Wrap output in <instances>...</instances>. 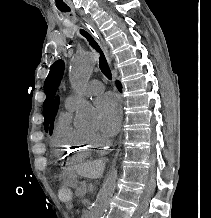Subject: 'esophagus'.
<instances>
[{
	"label": "esophagus",
	"instance_id": "obj_1",
	"mask_svg": "<svg viewBox=\"0 0 211 218\" xmlns=\"http://www.w3.org/2000/svg\"><path fill=\"white\" fill-rule=\"evenodd\" d=\"M88 31L97 40V42L101 46L102 50L104 51L108 62L111 63V57L109 55V51H108L107 45L105 44V42H104L100 32L98 31L97 27L93 23H89ZM122 103H123V100L120 99V116H121V120L123 119ZM116 135L119 137L121 134L118 132ZM111 149H114V146H111Z\"/></svg>",
	"mask_w": 211,
	"mask_h": 218
}]
</instances>
